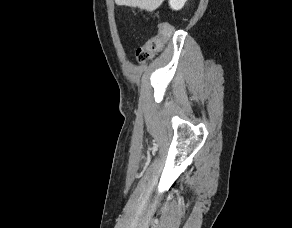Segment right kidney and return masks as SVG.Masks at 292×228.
I'll return each mask as SVG.
<instances>
[{
    "mask_svg": "<svg viewBox=\"0 0 292 228\" xmlns=\"http://www.w3.org/2000/svg\"><path fill=\"white\" fill-rule=\"evenodd\" d=\"M187 0H169V4L173 10H180Z\"/></svg>",
    "mask_w": 292,
    "mask_h": 228,
    "instance_id": "1",
    "label": "right kidney"
}]
</instances>
